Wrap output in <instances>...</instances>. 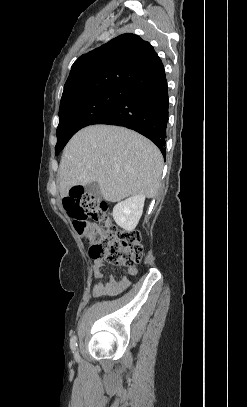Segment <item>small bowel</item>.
Returning a JSON list of instances; mask_svg holds the SVG:
<instances>
[{
	"label": "small bowel",
	"instance_id": "1",
	"mask_svg": "<svg viewBox=\"0 0 247 407\" xmlns=\"http://www.w3.org/2000/svg\"><path fill=\"white\" fill-rule=\"evenodd\" d=\"M104 262L101 259H96L93 262L91 268L92 276L102 279L103 274L101 272L102 268L104 267ZM137 275L136 268H129L127 273L124 277L120 280H115L113 277H110L108 281L102 282L94 286L93 288V295L94 296H102V295H114L122 292L126 288H128L131 284V280L135 278Z\"/></svg>",
	"mask_w": 247,
	"mask_h": 407
}]
</instances>
